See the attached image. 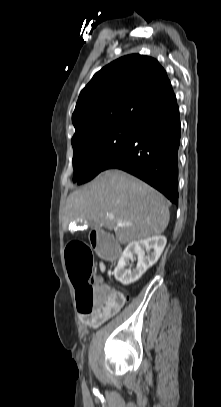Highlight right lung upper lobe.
<instances>
[{"label": "right lung upper lobe", "instance_id": "1", "mask_svg": "<svg viewBox=\"0 0 221 407\" xmlns=\"http://www.w3.org/2000/svg\"><path fill=\"white\" fill-rule=\"evenodd\" d=\"M173 95L157 60L139 54L121 57L98 71L81 91L72 115V143L106 127L137 124Z\"/></svg>", "mask_w": 221, "mask_h": 407}]
</instances>
